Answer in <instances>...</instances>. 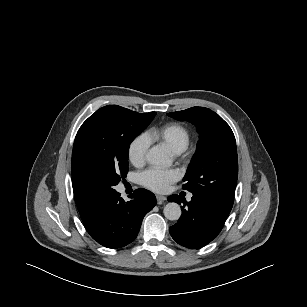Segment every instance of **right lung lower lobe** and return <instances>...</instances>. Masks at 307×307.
Listing matches in <instances>:
<instances>
[{"instance_id":"right-lung-lower-lobe-1","label":"right lung lower lobe","mask_w":307,"mask_h":307,"mask_svg":"<svg viewBox=\"0 0 307 307\" xmlns=\"http://www.w3.org/2000/svg\"><path fill=\"white\" fill-rule=\"evenodd\" d=\"M125 202L120 193L113 192L100 201L82 219L90 236L108 248H120L131 243L137 236L143 217L156 205L154 194L137 189Z\"/></svg>"}]
</instances>
